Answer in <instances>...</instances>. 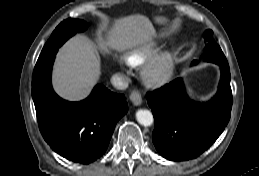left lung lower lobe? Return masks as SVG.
<instances>
[{"instance_id":"left-lung-lower-lobe-1","label":"left lung lower lobe","mask_w":259,"mask_h":176,"mask_svg":"<svg viewBox=\"0 0 259 176\" xmlns=\"http://www.w3.org/2000/svg\"><path fill=\"white\" fill-rule=\"evenodd\" d=\"M218 91L207 103L191 100L181 78L147 94L157 151L166 159L185 161L207 150L229 122L232 107L229 65H220Z\"/></svg>"}]
</instances>
